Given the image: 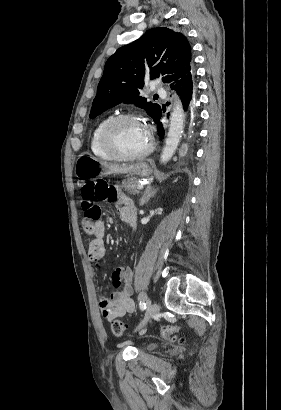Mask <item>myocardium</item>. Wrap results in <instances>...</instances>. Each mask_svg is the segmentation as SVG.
I'll return each instance as SVG.
<instances>
[{
  "label": "myocardium",
  "instance_id": "obj_1",
  "mask_svg": "<svg viewBox=\"0 0 281 410\" xmlns=\"http://www.w3.org/2000/svg\"><path fill=\"white\" fill-rule=\"evenodd\" d=\"M122 121H135L141 123V121L136 116L129 113L118 114L112 117L101 132L100 142L102 148L114 159L118 160H136L148 156L154 149V140L150 134H148L149 145L141 152L127 154L116 147L112 140V133L115 127Z\"/></svg>",
  "mask_w": 281,
  "mask_h": 410
}]
</instances>
